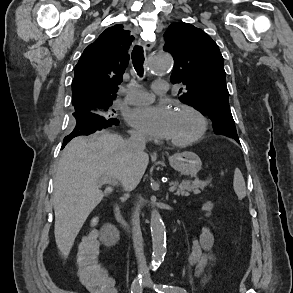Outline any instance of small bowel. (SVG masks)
Listing matches in <instances>:
<instances>
[{
    "instance_id": "c3829d8e",
    "label": "small bowel",
    "mask_w": 293,
    "mask_h": 293,
    "mask_svg": "<svg viewBox=\"0 0 293 293\" xmlns=\"http://www.w3.org/2000/svg\"><path fill=\"white\" fill-rule=\"evenodd\" d=\"M213 209L211 202H206L203 205V210L209 215ZM214 237L212 232L205 226L201 228L200 234L192 240V250L188 258V264L198 275H203V284H207L210 276L209 270L213 263V255L211 249L213 246ZM113 293H117L114 280L109 277Z\"/></svg>"
}]
</instances>
